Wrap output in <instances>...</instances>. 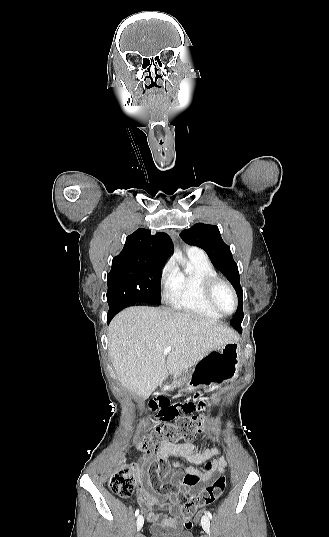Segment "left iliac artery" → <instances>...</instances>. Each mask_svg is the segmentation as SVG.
<instances>
[{"mask_svg": "<svg viewBox=\"0 0 329 537\" xmlns=\"http://www.w3.org/2000/svg\"><path fill=\"white\" fill-rule=\"evenodd\" d=\"M206 514L208 515V517H209L210 519H212V514H211L210 511H207Z\"/></svg>", "mask_w": 329, "mask_h": 537, "instance_id": "44dca946", "label": "left iliac artery"}]
</instances>
